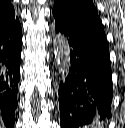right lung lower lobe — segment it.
Masks as SVG:
<instances>
[{"label": "right lung lower lobe", "mask_w": 125, "mask_h": 128, "mask_svg": "<svg viewBox=\"0 0 125 128\" xmlns=\"http://www.w3.org/2000/svg\"><path fill=\"white\" fill-rule=\"evenodd\" d=\"M21 49L20 23L0 32V116L7 128L14 127Z\"/></svg>", "instance_id": "98d812e1"}]
</instances>
